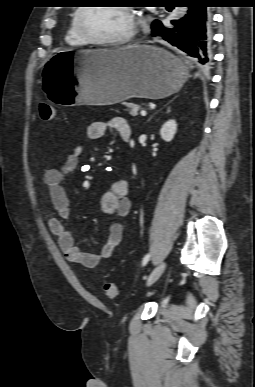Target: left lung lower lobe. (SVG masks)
<instances>
[{
  "instance_id": "obj_1",
  "label": "left lung lower lobe",
  "mask_w": 255,
  "mask_h": 387,
  "mask_svg": "<svg viewBox=\"0 0 255 387\" xmlns=\"http://www.w3.org/2000/svg\"><path fill=\"white\" fill-rule=\"evenodd\" d=\"M181 3L188 5L187 14L180 20H173L174 27L171 29L163 27L158 20L154 21L152 36H161L182 50L190 57L193 65H207L212 57V19L209 4H213V1L183 0Z\"/></svg>"
}]
</instances>
